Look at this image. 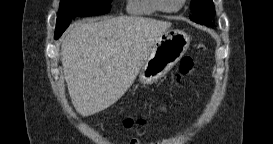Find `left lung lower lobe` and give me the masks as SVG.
<instances>
[{
    "label": "left lung lower lobe",
    "mask_w": 273,
    "mask_h": 144,
    "mask_svg": "<svg viewBox=\"0 0 273 144\" xmlns=\"http://www.w3.org/2000/svg\"><path fill=\"white\" fill-rule=\"evenodd\" d=\"M214 15H215V12H208L206 14L199 16L196 20H193V21L199 24L213 26V23H211V19L213 18Z\"/></svg>",
    "instance_id": "obj_1"
}]
</instances>
